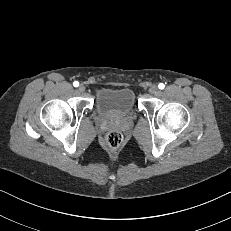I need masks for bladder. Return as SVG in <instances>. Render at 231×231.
I'll return each mask as SVG.
<instances>
[{"mask_svg":"<svg viewBox=\"0 0 231 231\" xmlns=\"http://www.w3.org/2000/svg\"><path fill=\"white\" fill-rule=\"evenodd\" d=\"M95 104L105 117L126 118L134 112L136 99L129 88H104L97 92Z\"/></svg>","mask_w":231,"mask_h":231,"instance_id":"bladder-1","label":"bladder"}]
</instances>
